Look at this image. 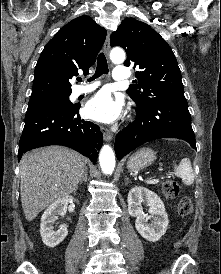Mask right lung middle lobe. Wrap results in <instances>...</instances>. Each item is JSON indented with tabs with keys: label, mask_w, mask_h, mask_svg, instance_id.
Here are the masks:
<instances>
[{
	"label": "right lung middle lobe",
	"mask_w": 221,
	"mask_h": 274,
	"mask_svg": "<svg viewBox=\"0 0 221 274\" xmlns=\"http://www.w3.org/2000/svg\"><path fill=\"white\" fill-rule=\"evenodd\" d=\"M69 96L70 93L30 100L27 111L42 109L56 105H74L70 102Z\"/></svg>",
	"instance_id": "1"
}]
</instances>
